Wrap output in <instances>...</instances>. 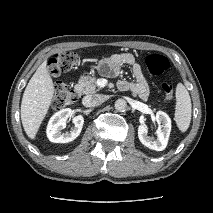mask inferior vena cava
Returning <instances> with one entry per match:
<instances>
[{
    "label": "inferior vena cava",
    "instance_id": "602c4592",
    "mask_svg": "<svg viewBox=\"0 0 213 213\" xmlns=\"http://www.w3.org/2000/svg\"><path fill=\"white\" fill-rule=\"evenodd\" d=\"M107 100V96L103 94L87 95L82 99L85 107H95Z\"/></svg>",
    "mask_w": 213,
    "mask_h": 213
}]
</instances>
